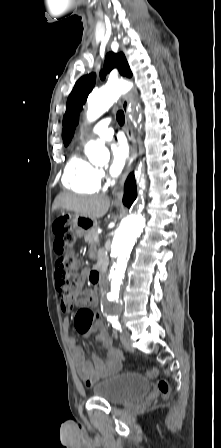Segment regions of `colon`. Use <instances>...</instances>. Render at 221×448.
<instances>
[{
  "instance_id": "5ec220e1",
  "label": "colon",
  "mask_w": 221,
  "mask_h": 448,
  "mask_svg": "<svg viewBox=\"0 0 221 448\" xmlns=\"http://www.w3.org/2000/svg\"><path fill=\"white\" fill-rule=\"evenodd\" d=\"M53 228L58 241L61 242V249L63 251L62 257L56 266V281L60 292L66 294L73 285L74 280L71 281V279L77 269L76 259L73 253L76 239L73 225L69 218L59 217L54 222ZM88 314L92 315V312L88 310ZM89 324L90 321H87L86 327H88ZM145 375L150 378H155L158 376V369L153 367L147 370ZM92 384V381L89 380L86 383L88 387H91ZM157 388L164 398L169 397L170 387L165 379H160L158 381Z\"/></svg>"
}]
</instances>
